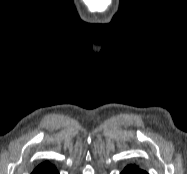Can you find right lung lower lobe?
Returning a JSON list of instances; mask_svg holds the SVG:
<instances>
[{
	"label": "right lung lower lobe",
	"instance_id": "right-lung-lower-lobe-1",
	"mask_svg": "<svg viewBox=\"0 0 187 174\" xmlns=\"http://www.w3.org/2000/svg\"><path fill=\"white\" fill-rule=\"evenodd\" d=\"M45 174H58V172L56 171V172H46Z\"/></svg>",
	"mask_w": 187,
	"mask_h": 174
}]
</instances>
